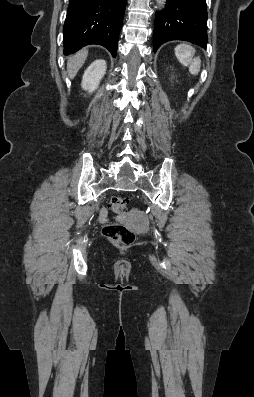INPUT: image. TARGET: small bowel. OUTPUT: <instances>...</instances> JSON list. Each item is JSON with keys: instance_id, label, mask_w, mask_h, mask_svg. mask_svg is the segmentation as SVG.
I'll return each instance as SVG.
<instances>
[{"instance_id": "c3829d8e", "label": "small bowel", "mask_w": 254, "mask_h": 397, "mask_svg": "<svg viewBox=\"0 0 254 397\" xmlns=\"http://www.w3.org/2000/svg\"><path fill=\"white\" fill-rule=\"evenodd\" d=\"M99 219L103 223L110 221V217L108 216V211L106 208L101 209ZM115 219L116 220L134 219L137 222H141L142 215H141V212L134 210L126 215L117 216Z\"/></svg>"}]
</instances>
